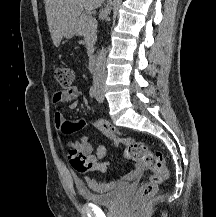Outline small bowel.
Returning a JSON list of instances; mask_svg holds the SVG:
<instances>
[{
	"label": "small bowel",
	"instance_id": "1",
	"mask_svg": "<svg viewBox=\"0 0 216 217\" xmlns=\"http://www.w3.org/2000/svg\"><path fill=\"white\" fill-rule=\"evenodd\" d=\"M78 95H79V91L75 86L63 90H58L53 94L52 103L56 107V110L53 115V120L56 128L59 131H64L65 125L67 123L66 118L64 117L63 113L60 110V106L62 104H67L70 109L76 108L78 105V101H77ZM93 143H94V139L92 137L82 136L78 141L69 142L68 145L71 148L78 149L79 151L87 154L88 156L91 157V159L95 163H103L104 168L101 171H105L108 166V162L103 161V159L106 156V148L104 145L98 144L96 147V151L93 154L92 153ZM141 171L142 168L139 165L135 164L132 170L125 175L124 179L125 180L134 179ZM118 182L119 181L117 179H114L107 183H103L95 178L87 177L85 179V182L80 183L79 185L81 187H87L93 191L104 192L114 188L118 184Z\"/></svg>",
	"mask_w": 216,
	"mask_h": 217
}]
</instances>
